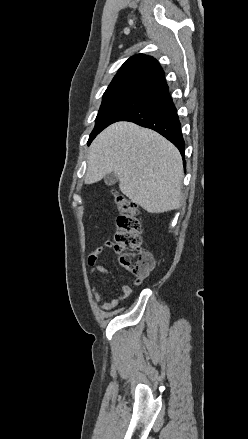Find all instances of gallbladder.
<instances>
[{"mask_svg":"<svg viewBox=\"0 0 248 439\" xmlns=\"http://www.w3.org/2000/svg\"><path fill=\"white\" fill-rule=\"evenodd\" d=\"M117 181H118V178L114 173H109L104 177V182L107 186H112Z\"/></svg>","mask_w":248,"mask_h":439,"instance_id":"bac80fb5","label":"gallbladder"}]
</instances>
